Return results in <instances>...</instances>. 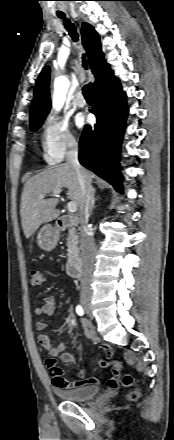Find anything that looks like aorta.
<instances>
[{"label": "aorta", "mask_w": 174, "mask_h": 440, "mask_svg": "<svg viewBox=\"0 0 174 440\" xmlns=\"http://www.w3.org/2000/svg\"><path fill=\"white\" fill-rule=\"evenodd\" d=\"M69 88L68 78L65 76H60L54 81V94H53V107L59 111L65 101L66 94Z\"/></svg>", "instance_id": "aorta-1"}]
</instances>
